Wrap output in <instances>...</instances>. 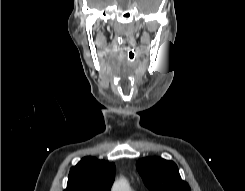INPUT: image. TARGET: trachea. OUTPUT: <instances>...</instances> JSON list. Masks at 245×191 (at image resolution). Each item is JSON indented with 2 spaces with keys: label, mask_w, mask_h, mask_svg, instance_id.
<instances>
[{
  "label": "trachea",
  "mask_w": 245,
  "mask_h": 191,
  "mask_svg": "<svg viewBox=\"0 0 245 191\" xmlns=\"http://www.w3.org/2000/svg\"><path fill=\"white\" fill-rule=\"evenodd\" d=\"M127 60L130 62V63H133L135 60H136V53L134 50H129L127 52Z\"/></svg>",
  "instance_id": "3493384b"
}]
</instances>
